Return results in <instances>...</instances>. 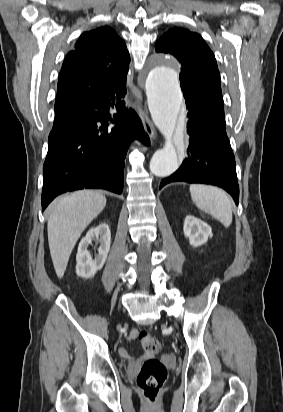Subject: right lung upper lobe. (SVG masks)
<instances>
[{
  "mask_svg": "<svg viewBox=\"0 0 283 412\" xmlns=\"http://www.w3.org/2000/svg\"><path fill=\"white\" fill-rule=\"evenodd\" d=\"M129 63L127 47L113 29L105 26L83 33L64 60L67 78L59 75L56 116L101 89H125Z\"/></svg>",
  "mask_w": 283,
  "mask_h": 412,
  "instance_id": "right-lung-upper-lobe-1",
  "label": "right lung upper lobe"
}]
</instances>
